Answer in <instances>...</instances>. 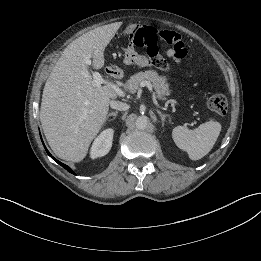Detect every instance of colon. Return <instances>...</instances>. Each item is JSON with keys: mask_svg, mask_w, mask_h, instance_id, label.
Masks as SVG:
<instances>
[{"mask_svg": "<svg viewBox=\"0 0 261 261\" xmlns=\"http://www.w3.org/2000/svg\"><path fill=\"white\" fill-rule=\"evenodd\" d=\"M123 36L128 37L134 46L144 48L149 63L160 70L167 69L166 60L160 55L158 39L164 40L181 58L186 55L185 47L176 30L152 26L149 19H144L140 25L131 22L122 28ZM208 108L219 116H225L228 110L227 99L223 95H214L208 100Z\"/></svg>", "mask_w": 261, "mask_h": 261, "instance_id": "obj_1", "label": "colon"}]
</instances>
